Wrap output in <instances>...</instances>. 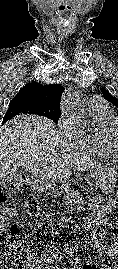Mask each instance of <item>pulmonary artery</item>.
I'll use <instances>...</instances> for the list:
<instances>
[{
  "instance_id": "1",
  "label": "pulmonary artery",
  "mask_w": 118,
  "mask_h": 269,
  "mask_svg": "<svg viewBox=\"0 0 118 269\" xmlns=\"http://www.w3.org/2000/svg\"><path fill=\"white\" fill-rule=\"evenodd\" d=\"M89 108H97L106 104V101L99 95H92L86 100Z\"/></svg>"
}]
</instances>
